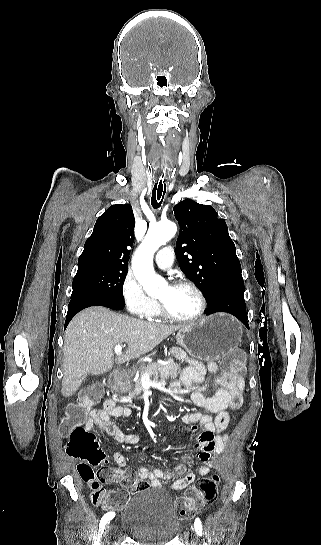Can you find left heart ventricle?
<instances>
[{"mask_svg":"<svg viewBox=\"0 0 321 545\" xmlns=\"http://www.w3.org/2000/svg\"><path fill=\"white\" fill-rule=\"evenodd\" d=\"M159 304L175 315L190 317L198 311L199 299L190 289H175L167 285Z\"/></svg>","mask_w":321,"mask_h":545,"instance_id":"1","label":"left heart ventricle"}]
</instances>
